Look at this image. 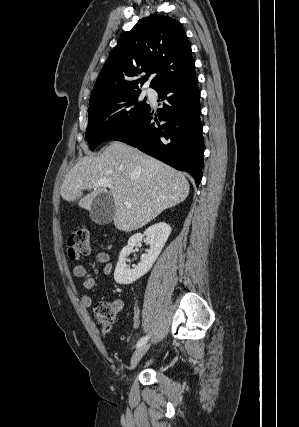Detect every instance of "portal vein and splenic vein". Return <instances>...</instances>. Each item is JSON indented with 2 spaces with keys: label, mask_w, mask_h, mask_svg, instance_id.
Wrapping results in <instances>:
<instances>
[{
  "label": "portal vein and splenic vein",
  "mask_w": 299,
  "mask_h": 427,
  "mask_svg": "<svg viewBox=\"0 0 299 427\" xmlns=\"http://www.w3.org/2000/svg\"><path fill=\"white\" fill-rule=\"evenodd\" d=\"M97 185H102V186H108V187H111V184H110L107 180H104V179L99 180V181H98V183H97ZM125 206H126L127 208H131V203H130V202H125Z\"/></svg>",
  "instance_id": "obj_1"
}]
</instances>
